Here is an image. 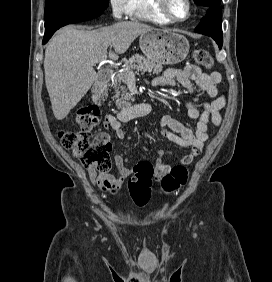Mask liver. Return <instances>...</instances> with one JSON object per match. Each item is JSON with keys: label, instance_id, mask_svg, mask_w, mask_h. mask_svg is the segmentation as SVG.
Wrapping results in <instances>:
<instances>
[{"label": "liver", "instance_id": "obj_1", "mask_svg": "<svg viewBox=\"0 0 272 282\" xmlns=\"http://www.w3.org/2000/svg\"><path fill=\"white\" fill-rule=\"evenodd\" d=\"M153 29L137 21H120L88 31L75 26L59 30L45 51V83L52 111L63 120L96 79L93 65L112 46L109 58L117 60L142 33Z\"/></svg>", "mask_w": 272, "mask_h": 282}]
</instances>
